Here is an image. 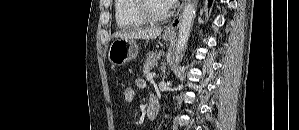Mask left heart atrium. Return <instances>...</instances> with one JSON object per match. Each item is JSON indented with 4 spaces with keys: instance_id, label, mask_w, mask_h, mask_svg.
Instances as JSON below:
<instances>
[{
    "instance_id": "39dd6f15",
    "label": "left heart atrium",
    "mask_w": 299,
    "mask_h": 130,
    "mask_svg": "<svg viewBox=\"0 0 299 130\" xmlns=\"http://www.w3.org/2000/svg\"><path fill=\"white\" fill-rule=\"evenodd\" d=\"M164 2L166 3V5L172 6V4H174L176 1L175 0H165Z\"/></svg>"
}]
</instances>
